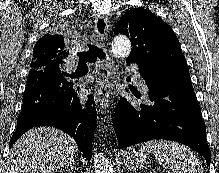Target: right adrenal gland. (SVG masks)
I'll list each match as a JSON object with an SVG mask.
<instances>
[{"mask_svg":"<svg viewBox=\"0 0 219 173\" xmlns=\"http://www.w3.org/2000/svg\"><path fill=\"white\" fill-rule=\"evenodd\" d=\"M67 169L71 170L72 172H74V166H72V162L67 164ZM75 173V172H74Z\"/></svg>","mask_w":219,"mask_h":173,"instance_id":"1","label":"right adrenal gland"}]
</instances>
